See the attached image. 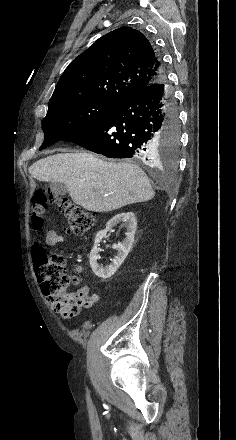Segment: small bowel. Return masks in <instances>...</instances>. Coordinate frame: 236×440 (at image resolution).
I'll use <instances>...</instances> for the list:
<instances>
[{"label":"small bowel","instance_id":"obj_1","mask_svg":"<svg viewBox=\"0 0 236 440\" xmlns=\"http://www.w3.org/2000/svg\"><path fill=\"white\" fill-rule=\"evenodd\" d=\"M64 242V237L62 235L57 234L55 231H48L45 235L44 243L46 246H55L57 244H60ZM43 252V248L40 246H34L32 248V260L34 263V266H37V263L41 259ZM80 271L81 268H78ZM72 297L77 298L81 301L80 308L78 312L74 315H78L81 308H91L95 303L99 301V295L97 293H91L90 288L88 286H83L74 293L71 294ZM48 300V298H47ZM49 304L51 305L52 309H54L56 312L61 313L54 304H52L48 300Z\"/></svg>","mask_w":236,"mask_h":440}]
</instances>
